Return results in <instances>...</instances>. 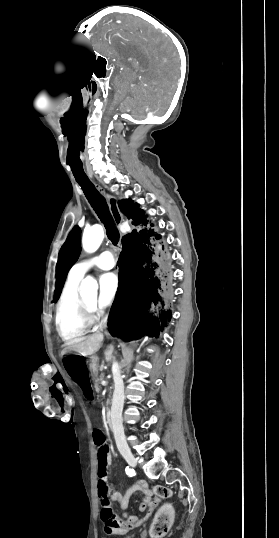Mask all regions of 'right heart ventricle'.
<instances>
[{"label":"right heart ventricle","mask_w":279,"mask_h":538,"mask_svg":"<svg viewBox=\"0 0 279 538\" xmlns=\"http://www.w3.org/2000/svg\"><path fill=\"white\" fill-rule=\"evenodd\" d=\"M106 234V227L102 220L93 227L86 228L83 232V241L90 235L103 237ZM84 275L75 276L69 272L60 298L56 306L55 322L56 328L64 341H72L84 335L90 325L78 323L74 318V311L82 298L80 287Z\"/></svg>","instance_id":"1"}]
</instances>
